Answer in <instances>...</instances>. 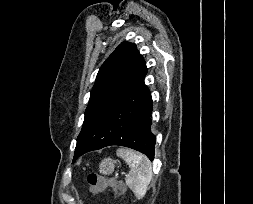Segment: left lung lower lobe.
Here are the masks:
<instances>
[{
    "mask_svg": "<svg viewBox=\"0 0 253 204\" xmlns=\"http://www.w3.org/2000/svg\"><path fill=\"white\" fill-rule=\"evenodd\" d=\"M152 97L144 81L123 101L92 122L84 134L81 155L106 146L119 145L154 159L156 137L151 132Z\"/></svg>",
    "mask_w": 253,
    "mask_h": 204,
    "instance_id": "left-lung-lower-lobe-1",
    "label": "left lung lower lobe"
}]
</instances>
